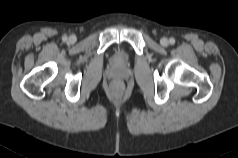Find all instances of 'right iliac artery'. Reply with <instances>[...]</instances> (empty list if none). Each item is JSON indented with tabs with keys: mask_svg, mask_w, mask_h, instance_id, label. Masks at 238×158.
Returning <instances> with one entry per match:
<instances>
[{
	"mask_svg": "<svg viewBox=\"0 0 238 158\" xmlns=\"http://www.w3.org/2000/svg\"><path fill=\"white\" fill-rule=\"evenodd\" d=\"M67 39H68L67 36H63V37H62V40H63V41H67Z\"/></svg>",
	"mask_w": 238,
	"mask_h": 158,
	"instance_id": "obj_1",
	"label": "right iliac artery"
}]
</instances>
